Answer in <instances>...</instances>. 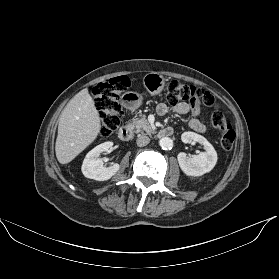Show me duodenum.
<instances>
[{
    "mask_svg": "<svg viewBox=\"0 0 279 279\" xmlns=\"http://www.w3.org/2000/svg\"><path fill=\"white\" fill-rule=\"evenodd\" d=\"M173 133L174 132L171 127H165L158 132V137L159 138L171 137ZM117 134L122 141H129L133 136L131 128L127 125L120 127Z\"/></svg>",
    "mask_w": 279,
    "mask_h": 279,
    "instance_id": "410a0bca",
    "label": "duodenum"
}]
</instances>
